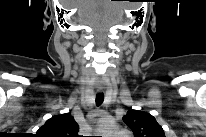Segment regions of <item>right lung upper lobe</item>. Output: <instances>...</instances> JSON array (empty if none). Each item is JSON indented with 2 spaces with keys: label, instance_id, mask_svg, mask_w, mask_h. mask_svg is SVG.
<instances>
[{
  "label": "right lung upper lobe",
  "instance_id": "1",
  "mask_svg": "<svg viewBox=\"0 0 206 137\" xmlns=\"http://www.w3.org/2000/svg\"><path fill=\"white\" fill-rule=\"evenodd\" d=\"M79 125L70 113L53 116L37 131L39 137H77Z\"/></svg>",
  "mask_w": 206,
  "mask_h": 137
}]
</instances>
